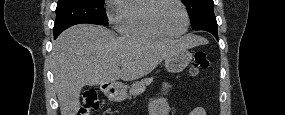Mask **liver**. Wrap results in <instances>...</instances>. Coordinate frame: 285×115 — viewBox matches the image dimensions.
I'll list each match as a JSON object with an SVG mask.
<instances>
[{
	"label": "liver",
	"mask_w": 285,
	"mask_h": 115,
	"mask_svg": "<svg viewBox=\"0 0 285 115\" xmlns=\"http://www.w3.org/2000/svg\"><path fill=\"white\" fill-rule=\"evenodd\" d=\"M203 43V38L194 35L156 41L117 37L111 30L92 24L68 28L53 43L51 53L61 115L77 114L80 92L85 85L139 79L167 56Z\"/></svg>",
	"instance_id": "obj_1"
}]
</instances>
